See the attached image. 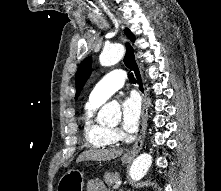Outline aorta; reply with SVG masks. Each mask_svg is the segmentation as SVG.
<instances>
[{"label":"aorta","instance_id":"obj_1","mask_svg":"<svg viewBox=\"0 0 221 191\" xmlns=\"http://www.w3.org/2000/svg\"><path fill=\"white\" fill-rule=\"evenodd\" d=\"M124 54V47L121 44H111L105 47L100 54L99 61L102 66H112L119 62ZM120 114V108L113 104H105L100 110V117L110 120ZM152 164V156L148 153L140 154L130 168V177L134 181L142 179Z\"/></svg>","mask_w":221,"mask_h":191}]
</instances>
